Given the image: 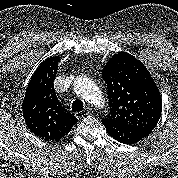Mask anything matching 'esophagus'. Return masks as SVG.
<instances>
[{
  "label": "esophagus",
  "mask_w": 178,
  "mask_h": 178,
  "mask_svg": "<svg viewBox=\"0 0 178 178\" xmlns=\"http://www.w3.org/2000/svg\"><path fill=\"white\" fill-rule=\"evenodd\" d=\"M88 114H89L88 110H83V111L76 112L75 116H76L77 119H80V118H82V117H84Z\"/></svg>",
  "instance_id": "obj_1"
}]
</instances>
